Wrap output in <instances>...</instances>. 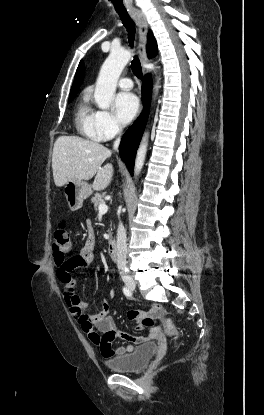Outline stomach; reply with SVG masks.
<instances>
[{"mask_svg":"<svg viewBox=\"0 0 264 415\" xmlns=\"http://www.w3.org/2000/svg\"><path fill=\"white\" fill-rule=\"evenodd\" d=\"M91 194V186L83 181L71 180L64 186V195L71 211L79 210Z\"/></svg>","mask_w":264,"mask_h":415,"instance_id":"obj_1","label":"stomach"}]
</instances>
